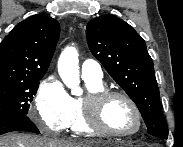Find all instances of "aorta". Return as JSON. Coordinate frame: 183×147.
Returning a JSON list of instances; mask_svg holds the SVG:
<instances>
[{
	"mask_svg": "<svg viewBox=\"0 0 183 147\" xmlns=\"http://www.w3.org/2000/svg\"><path fill=\"white\" fill-rule=\"evenodd\" d=\"M78 52L75 47H67L58 60V72L63 83L73 95H81Z\"/></svg>",
	"mask_w": 183,
	"mask_h": 147,
	"instance_id": "1",
	"label": "aorta"
}]
</instances>
